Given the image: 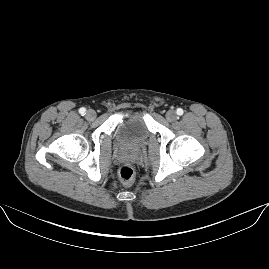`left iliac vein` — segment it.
Segmentation results:
<instances>
[{
    "label": "left iliac vein",
    "instance_id": "left-iliac-vein-1",
    "mask_svg": "<svg viewBox=\"0 0 269 269\" xmlns=\"http://www.w3.org/2000/svg\"><path fill=\"white\" fill-rule=\"evenodd\" d=\"M166 119H167L169 122H174V121L177 119L176 112H175L174 110H169V111L166 113Z\"/></svg>",
    "mask_w": 269,
    "mask_h": 269
}]
</instances>
